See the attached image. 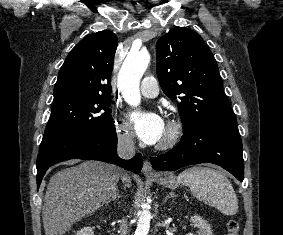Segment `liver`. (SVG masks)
<instances>
[{
    "label": "liver",
    "mask_w": 283,
    "mask_h": 235,
    "mask_svg": "<svg viewBox=\"0 0 283 235\" xmlns=\"http://www.w3.org/2000/svg\"><path fill=\"white\" fill-rule=\"evenodd\" d=\"M119 178L126 186L131 185L130 176L117 167L92 160L57 172L44 198L45 235H63L75 222L98 210L112 197Z\"/></svg>",
    "instance_id": "obj_1"
}]
</instances>
